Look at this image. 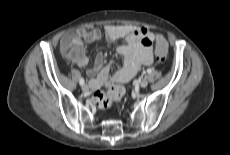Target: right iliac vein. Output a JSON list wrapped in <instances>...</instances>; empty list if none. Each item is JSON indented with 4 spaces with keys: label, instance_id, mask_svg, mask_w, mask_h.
<instances>
[{
    "label": "right iliac vein",
    "instance_id": "right-iliac-vein-1",
    "mask_svg": "<svg viewBox=\"0 0 230 155\" xmlns=\"http://www.w3.org/2000/svg\"><path fill=\"white\" fill-rule=\"evenodd\" d=\"M81 88L84 92H87L89 90V87L87 84H83Z\"/></svg>",
    "mask_w": 230,
    "mask_h": 155
}]
</instances>
